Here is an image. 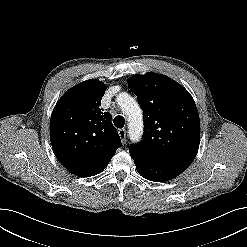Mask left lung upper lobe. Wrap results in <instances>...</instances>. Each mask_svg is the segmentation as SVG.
<instances>
[{
	"label": "left lung upper lobe",
	"instance_id": "obj_1",
	"mask_svg": "<svg viewBox=\"0 0 247 247\" xmlns=\"http://www.w3.org/2000/svg\"><path fill=\"white\" fill-rule=\"evenodd\" d=\"M129 89L144 111L145 130L130 153L152 161L187 168L200 141V120L192 96L172 79L156 74L134 75Z\"/></svg>",
	"mask_w": 247,
	"mask_h": 247
}]
</instances>
